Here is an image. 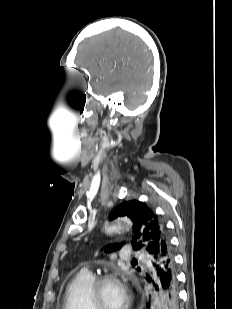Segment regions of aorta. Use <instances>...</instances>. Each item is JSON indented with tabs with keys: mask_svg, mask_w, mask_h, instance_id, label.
<instances>
[{
	"mask_svg": "<svg viewBox=\"0 0 232 309\" xmlns=\"http://www.w3.org/2000/svg\"><path fill=\"white\" fill-rule=\"evenodd\" d=\"M126 228L125 224L115 223L107 227V231L110 233H117Z\"/></svg>",
	"mask_w": 232,
	"mask_h": 309,
	"instance_id": "762f6f07",
	"label": "aorta"
}]
</instances>
